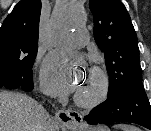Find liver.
<instances>
[{
    "label": "liver",
    "mask_w": 151,
    "mask_h": 131,
    "mask_svg": "<svg viewBox=\"0 0 151 131\" xmlns=\"http://www.w3.org/2000/svg\"><path fill=\"white\" fill-rule=\"evenodd\" d=\"M54 129L44 107L33 98L21 93L0 92V131H55Z\"/></svg>",
    "instance_id": "obj_1"
}]
</instances>
